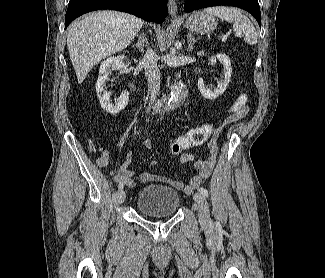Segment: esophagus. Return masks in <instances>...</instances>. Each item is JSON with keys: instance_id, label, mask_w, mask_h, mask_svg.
I'll return each instance as SVG.
<instances>
[{"instance_id": "esophagus-1", "label": "esophagus", "mask_w": 325, "mask_h": 278, "mask_svg": "<svg viewBox=\"0 0 325 278\" xmlns=\"http://www.w3.org/2000/svg\"><path fill=\"white\" fill-rule=\"evenodd\" d=\"M168 9H169V14L173 19H178L177 17V11H178V7H177V3L175 0H169L168 1Z\"/></svg>"}]
</instances>
